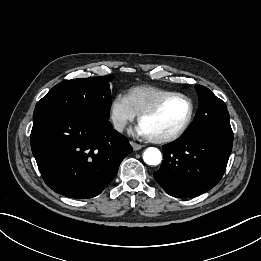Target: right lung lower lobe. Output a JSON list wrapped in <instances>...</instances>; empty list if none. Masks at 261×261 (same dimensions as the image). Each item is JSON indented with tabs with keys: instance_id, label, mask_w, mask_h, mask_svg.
I'll list each match as a JSON object with an SVG mask.
<instances>
[{
	"instance_id": "right-lung-lower-lobe-1",
	"label": "right lung lower lobe",
	"mask_w": 261,
	"mask_h": 261,
	"mask_svg": "<svg viewBox=\"0 0 261 261\" xmlns=\"http://www.w3.org/2000/svg\"><path fill=\"white\" fill-rule=\"evenodd\" d=\"M31 149L45 183L66 197L99 195L132 152L110 126L78 113L35 109Z\"/></svg>"
}]
</instances>
